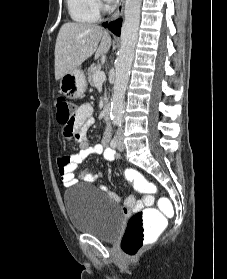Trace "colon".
Instances as JSON below:
<instances>
[{"instance_id":"5ec220e1","label":"colon","mask_w":227,"mask_h":279,"mask_svg":"<svg viewBox=\"0 0 227 279\" xmlns=\"http://www.w3.org/2000/svg\"><path fill=\"white\" fill-rule=\"evenodd\" d=\"M55 105L56 119L63 127L64 141H67L75 122L76 107L71 100L65 97H59ZM77 130H80V128H77ZM128 179L134 183L136 189L143 191L145 196H150L157 191L156 185L146 180L136 170L128 173ZM166 220V214L159 209L144 208L135 212L128 221L121 242L123 253L127 256L137 255L141 251L146 238H151L164 229Z\"/></svg>"}]
</instances>
